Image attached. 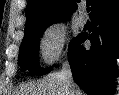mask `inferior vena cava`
<instances>
[{"mask_svg": "<svg viewBox=\"0 0 119 95\" xmlns=\"http://www.w3.org/2000/svg\"><path fill=\"white\" fill-rule=\"evenodd\" d=\"M59 76L65 82L69 95H81L80 89L73 81L71 68L67 59L62 63V69Z\"/></svg>", "mask_w": 119, "mask_h": 95, "instance_id": "inferior-vena-cava-1", "label": "inferior vena cava"}]
</instances>
